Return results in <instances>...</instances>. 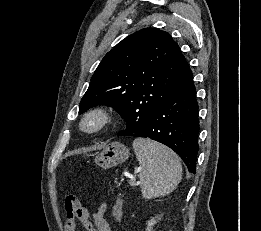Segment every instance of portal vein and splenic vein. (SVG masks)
Masks as SVG:
<instances>
[{
    "label": "portal vein and splenic vein",
    "instance_id": "portal-vein-and-splenic-vein-1",
    "mask_svg": "<svg viewBox=\"0 0 261 231\" xmlns=\"http://www.w3.org/2000/svg\"><path fill=\"white\" fill-rule=\"evenodd\" d=\"M131 185H136V184H138V183H136L134 180H130V182H129Z\"/></svg>",
    "mask_w": 261,
    "mask_h": 231
}]
</instances>
